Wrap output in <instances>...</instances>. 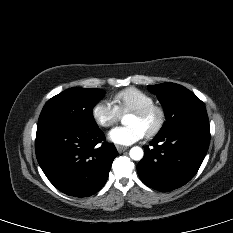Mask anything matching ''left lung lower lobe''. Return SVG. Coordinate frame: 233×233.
Wrapping results in <instances>:
<instances>
[{
  "label": "left lung lower lobe",
  "instance_id": "obj_1",
  "mask_svg": "<svg viewBox=\"0 0 233 233\" xmlns=\"http://www.w3.org/2000/svg\"><path fill=\"white\" fill-rule=\"evenodd\" d=\"M210 142V126L190 124L155 136L138 163L140 179L161 192L177 189L190 181L200 168Z\"/></svg>",
  "mask_w": 233,
  "mask_h": 233
}]
</instances>
